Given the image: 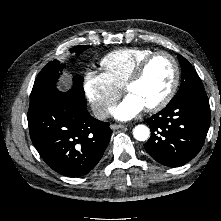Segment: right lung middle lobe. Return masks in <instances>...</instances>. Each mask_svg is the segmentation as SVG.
I'll list each match as a JSON object with an SVG mask.
<instances>
[{"instance_id":"obj_1","label":"right lung middle lobe","mask_w":221,"mask_h":221,"mask_svg":"<svg viewBox=\"0 0 221 221\" xmlns=\"http://www.w3.org/2000/svg\"><path fill=\"white\" fill-rule=\"evenodd\" d=\"M89 46L81 45L70 49L71 52H75L77 55L86 50ZM63 64H60L58 60L49 62L39 73L34 82V86L31 92L30 101L39 100L47 96L50 92L56 91V81L58 80ZM70 91L77 93L78 95L85 97L83 90V78L80 75H76L73 78V87Z\"/></svg>"}]
</instances>
